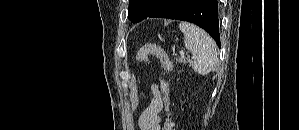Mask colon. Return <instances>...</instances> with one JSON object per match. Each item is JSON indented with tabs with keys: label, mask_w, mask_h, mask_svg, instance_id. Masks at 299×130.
<instances>
[{
	"label": "colon",
	"mask_w": 299,
	"mask_h": 130,
	"mask_svg": "<svg viewBox=\"0 0 299 130\" xmlns=\"http://www.w3.org/2000/svg\"><path fill=\"white\" fill-rule=\"evenodd\" d=\"M149 56L156 57L163 65L166 71H170L172 69V61L166 52L157 44L154 43H146L140 47L136 54V61L139 63H143L147 61ZM163 96L166 103V119L164 121L163 130H174L172 121L170 119V111H169V98H170V87L168 84L163 83L162 85Z\"/></svg>",
	"instance_id": "colon-1"
}]
</instances>
